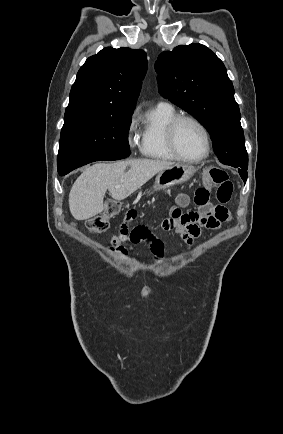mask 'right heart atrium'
I'll use <instances>...</instances> for the list:
<instances>
[{
	"label": "right heart atrium",
	"instance_id": "d8ad5b80",
	"mask_svg": "<svg viewBox=\"0 0 283 434\" xmlns=\"http://www.w3.org/2000/svg\"><path fill=\"white\" fill-rule=\"evenodd\" d=\"M126 138L127 142L130 146H133L135 144L136 139V120L134 117L131 118L127 132H126Z\"/></svg>",
	"mask_w": 283,
	"mask_h": 434
}]
</instances>
